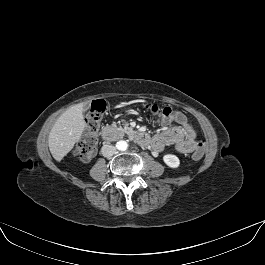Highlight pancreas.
<instances>
[{"label":"pancreas","instance_id":"cf45deb5","mask_svg":"<svg viewBox=\"0 0 265 265\" xmlns=\"http://www.w3.org/2000/svg\"><path fill=\"white\" fill-rule=\"evenodd\" d=\"M113 126L115 128H118L115 123L113 124ZM118 129L121 131H124V132H131L132 131V129L128 126V124H124V129L123 128H118Z\"/></svg>","mask_w":265,"mask_h":265}]
</instances>
